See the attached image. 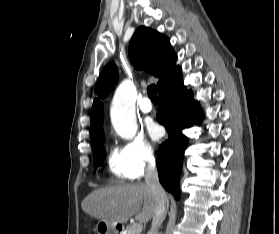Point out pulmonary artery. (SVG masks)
<instances>
[{
	"label": "pulmonary artery",
	"instance_id": "1",
	"mask_svg": "<svg viewBox=\"0 0 279 234\" xmlns=\"http://www.w3.org/2000/svg\"><path fill=\"white\" fill-rule=\"evenodd\" d=\"M152 109H153V106H152V103L150 102V100L146 97L143 98L139 104V110L144 114H148L152 111Z\"/></svg>",
	"mask_w": 279,
	"mask_h": 234
}]
</instances>
